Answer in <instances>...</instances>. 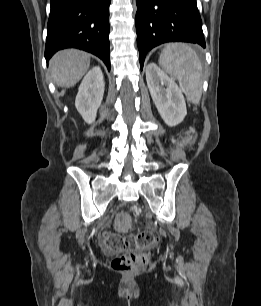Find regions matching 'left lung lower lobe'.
I'll list each match as a JSON object with an SVG mask.
<instances>
[{
    "label": "left lung lower lobe",
    "instance_id": "0a47b994",
    "mask_svg": "<svg viewBox=\"0 0 261 306\" xmlns=\"http://www.w3.org/2000/svg\"><path fill=\"white\" fill-rule=\"evenodd\" d=\"M135 23L141 70L147 52L162 43L206 47L196 0H137Z\"/></svg>",
    "mask_w": 261,
    "mask_h": 306
}]
</instances>
